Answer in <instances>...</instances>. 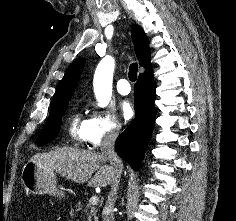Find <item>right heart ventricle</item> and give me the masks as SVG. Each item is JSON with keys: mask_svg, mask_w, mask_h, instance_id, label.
Listing matches in <instances>:
<instances>
[{"mask_svg": "<svg viewBox=\"0 0 236 221\" xmlns=\"http://www.w3.org/2000/svg\"><path fill=\"white\" fill-rule=\"evenodd\" d=\"M86 120H83L79 114H76L69 126V133L71 137L77 141H84Z\"/></svg>", "mask_w": 236, "mask_h": 221, "instance_id": "obj_1", "label": "right heart ventricle"}]
</instances>
